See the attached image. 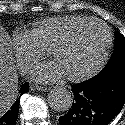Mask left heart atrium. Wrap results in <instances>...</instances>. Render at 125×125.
Listing matches in <instances>:
<instances>
[{
  "instance_id": "1",
  "label": "left heart atrium",
  "mask_w": 125,
  "mask_h": 125,
  "mask_svg": "<svg viewBox=\"0 0 125 125\" xmlns=\"http://www.w3.org/2000/svg\"><path fill=\"white\" fill-rule=\"evenodd\" d=\"M66 73L57 60L39 65L33 72V78L38 82L56 81Z\"/></svg>"
}]
</instances>
